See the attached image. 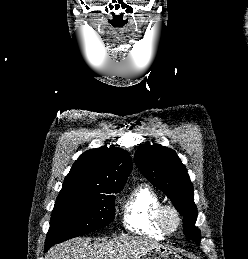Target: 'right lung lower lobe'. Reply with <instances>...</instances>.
Segmentation results:
<instances>
[{
	"instance_id": "right-lung-lower-lobe-1",
	"label": "right lung lower lobe",
	"mask_w": 248,
	"mask_h": 259,
	"mask_svg": "<svg viewBox=\"0 0 248 259\" xmlns=\"http://www.w3.org/2000/svg\"><path fill=\"white\" fill-rule=\"evenodd\" d=\"M51 246V243H45V251H47Z\"/></svg>"
}]
</instances>
